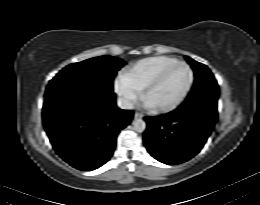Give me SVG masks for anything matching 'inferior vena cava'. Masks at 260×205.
Segmentation results:
<instances>
[{
  "instance_id": "602c4592",
  "label": "inferior vena cava",
  "mask_w": 260,
  "mask_h": 205,
  "mask_svg": "<svg viewBox=\"0 0 260 205\" xmlns=\"http://www.w3.org/2000/svg\"><path fill=\"white\" fill-rule=\"evenodd\" d=\"M117 105L121 109L131 110L134 108L133 103L129 99L123 97L117 99Z\"/></svg>"
}]
</instances>
